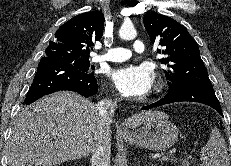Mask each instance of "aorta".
Instances as JSON below:
<instances>
[{"mask_svg": "<svg viewBox=\"0 0 231 166\" xmlns=\"http://www.w3.org/2000/svg\"><path fill=\"white\" fill-rule=\"evenodd\" d=\"M136 35L137 32L132 24L124 23L119 30V36L123 40H132Z\"/></svg>", "mask_w": 231, "mask_h": 166, "instance_id": "aorta-1", "label": "aorta"}]
</instances>
